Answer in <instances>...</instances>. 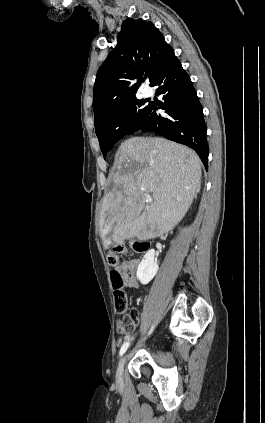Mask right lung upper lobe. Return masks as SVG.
Returning <instances> with one entry per match:
<instances>
[{
    "label": "right lung upper lobe",
    "mask_w": 265,
    "mask_h": 423,
    "mask_svg": "<svg viewBox=\"0 0 265 423\" xmlns=\"http://www.w3.org/2000/svg\"><path fill=\"white\" fill-rule=\"evenodd\" d=\"M174 51L151 22L126 19L116 47L99 68L93 97L95 123L121 102L135 96L143 76L150 85L175 58ZM134 80H138L134 83Z\"/></svg>",
    "instance_id": "cb5924a9"
}]
</instances>
